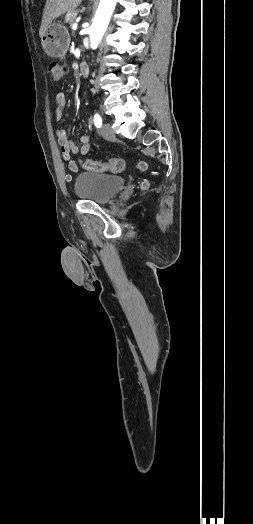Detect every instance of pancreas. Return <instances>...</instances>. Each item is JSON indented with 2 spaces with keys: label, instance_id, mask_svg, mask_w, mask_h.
<instances>
[{
  "label": "pancreas",
  "instance_id": "1",
  "mask_svg": "<svg viewBox=\"0 0 253 524\" xmlns=\"http://www.w3.org/2000/svg\"><path fill=\"white\" fill-rule=\"evenodd\" d=\"M76 17L77 13L75 11L68 12L65 16V22L69 23L70 25H73Z\"/></svg>",
  "mask_w": 253,
  "mask_h": 524
}]
</instances>
